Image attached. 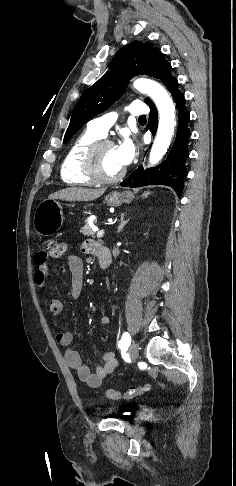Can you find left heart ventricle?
Returning <instances> with one entry per match:
<instances>
[{"label":"left heart ventricle","instance_id":"obj_1","mask_svg":"<svg viewBox=\"0 0 236 486\" xmlns=\"http://www.w3.org/2000/svg\"><path fill=\"white\" fill-rule=\"evenodd\" d=\"M99 167L103 175L111 177L122 171L115 146H106L99 153Z\"/></svg>","mask_w":236,"mask_h":486}]
</instances>
